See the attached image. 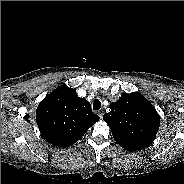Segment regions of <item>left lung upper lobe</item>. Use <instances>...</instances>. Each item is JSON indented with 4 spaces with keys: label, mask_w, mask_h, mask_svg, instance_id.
<instances>
[{
    "label": "left lung upper lobe",
    "mask_w": 184,
    "mask_h": 184,
    "mask_svg": "<svg viewBox=\"0 0 184 184\" xmlns=\"http://www.w3.org/2000/svg\"><path fill=\"white\" fill-rule=\"evenodd\" d=\"M111 111L103 115L113 138L128 151L148 147L160 127V117L153 105L139 92L124 93L110 104Z\"/></svg>",
    "instance_id": "5c2ea615"
}]
</instances>
